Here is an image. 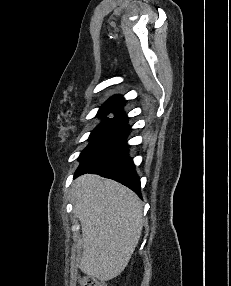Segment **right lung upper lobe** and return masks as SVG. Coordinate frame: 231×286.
Returning a JSON list of instances; mask_svg holds the SVG:
<instances>
[{
    "mask_svg": "<svg viewBox=\"0 0 231 286\" xmlns=\"http://www.w3.org/2000/svg\"><path fill=\"white\" fill-rule=\"evenodd\" d=\"M125 104V100L122 96H114L112 98H110L105 104L104 106H115V107H123Z\"/></svg>",
    "mask_w": 231,
    "mask_h": 286,
    "instance_id": "cb5924a9",
    "label": "right lung upper lobe"
}]
</instances>
